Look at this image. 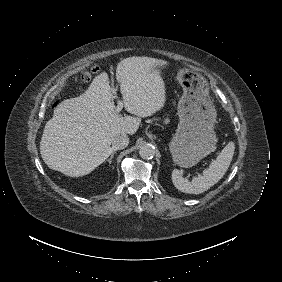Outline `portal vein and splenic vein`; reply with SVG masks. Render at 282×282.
Returning <instances> with one entry per match:
<instances>
[{"instance_id":"1","label":"portal vein and splenic vein","mask_w":282,"mask_h":282,"mask_svg":"<svg viewBox=\"0 0 282 282\" xmlns=\"http://www.w3.org/2000/svg\"><path fill=\"white\" fill-rule=\"evenodd\" d=\"M121 109H122V103H119L117 107L115 108L114 113L119 114L121 112ZM198 176L200 175L198 174Z\"/></svg>"}]
</instances>
